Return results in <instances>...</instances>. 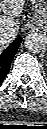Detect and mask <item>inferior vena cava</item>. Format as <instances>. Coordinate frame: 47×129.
I'll list each match as a JSON object with an SVG mask.
<instances>
[{
    "instance_id": "1",
    "label": "inferior vena cava",
    "mask_w": 47,
    "mask_h": 129,
    "mask_svg": "<svg viewBox=\"0 0 47 129\" xmlns=\"http://www.w3.org/2000/svg\"><path fill=\"white\" fill-rule=\"evenodd\" d=\"M16 32L14 30H5L0 31V40L1 41H12L16 37Z\"/></svg>"
}]
</instances>
